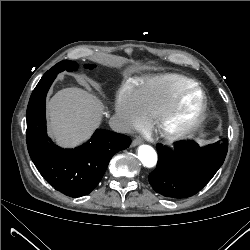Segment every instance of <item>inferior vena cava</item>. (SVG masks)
<instances>
[{"mask_svg": "<svg viewBox=\"0 0 250 250\" xmlns=\"http://www.w3.org/2000/svg\"><path fill=\"white\" fill-rule=\"evenodd\" d=\"M109 125L112 130L118 133H130L132 130L129 122L117 115H114L110 118Z\"/></svg>", "mask_w": 250, "mask_h": 250, "instance_id": "obj_1", "label": "inferior vena cava"}]
</instances>
